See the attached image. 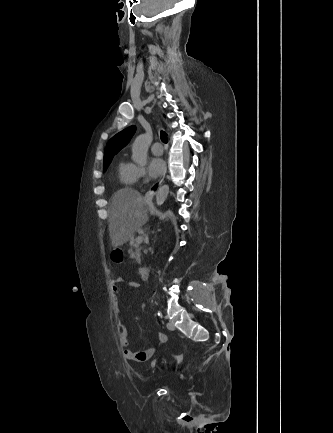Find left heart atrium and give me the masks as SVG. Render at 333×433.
<instances>
[{"label": "left heart atrium", "instance_id": "39dd6f15", "mask_svg": "<svg viewBox=\"0 0 333 433\" xmlns=\"http://www.w3.org/2000/svg\"><path fill=\"white\" fill-rule=\"evenodd\" d=\"M165 169V163L160 157H154L149 162V173L152 177H158Z\"/></svg>", "mask_w": 333, "mask_h": 433}]
</instances>
